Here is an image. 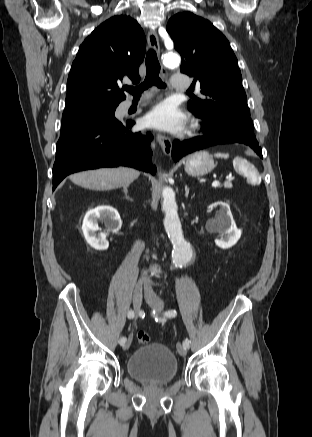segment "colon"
Masks as SVG:
<instances>
[{"instance_id":"obj_1","label":"colon","mask_w":312,"mask_h":437,"mask_svg":"<svg viewBox=\"0 0 312 437\" xmlns=\"http://www.w3.org/2000/svg\"><path fill=\"white\" fill-rule=\"evenodd\" d=\"M137 340L141 344H147L150 341V336L148 333H146L144 331H139L137 333Z\"/></svg>"}]
</instances>
